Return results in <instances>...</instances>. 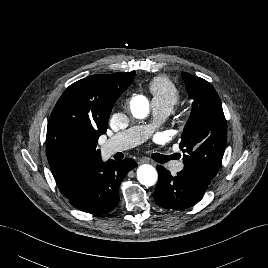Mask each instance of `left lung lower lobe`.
Here are the masks:
<instances>
[{"label": "left lung lower lobe", "instance_id": "1", "mask_svg": "<svg viewBox=\"0 0 268 268\" xmlns=\"http://www.w3.org/2000/svg\"><path fill=\"white\" fill-rule=\"evenodd\" d=\"M157 171L159 179L154 199L163 208L174 210L189 208L201 200L208 187V184L184 171L177 173L175 177L162 166H157Z\"/></svg>", "mask_w": 268, "mask_h": 268}]
</instances>
